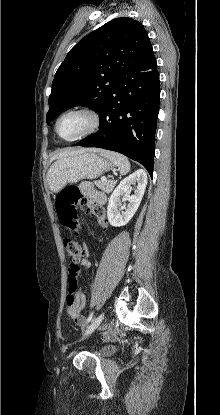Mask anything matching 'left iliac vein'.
I'll list each match as a JSON object with an SVG mask.
<instances>
[{
  "label": "left iliac vein",
  "mask_w": 220,
  "mask_h": 415,
  "mask_svg": "<svg viewBox=\"0 0 220 415\" xmlns=\"http://www.w3.org/2000/svg\"><path fill=\"white\" fill-rule=\"evenodd\" d=\"M99 318H100V315L96 319H94V321L90 324V326L84 332L82 338L87 337L88 335H90L92 332H94V330H96L99 327V325H100V323H101V321L103 320L104 317L102 318V320L100 322H99Z\"/></svg>",
  "instance_id": "obj_1"
}]
</instances>
